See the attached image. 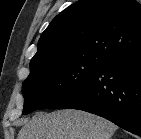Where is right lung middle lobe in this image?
<instances>
[{
  "mask_svg": "<svg viewBox=\"0 0 141 139\" xmlns=\"http://www.w3.org/2000/svg\"><path fill=\"white\" fill-rule=\"evenodd\" d=\"M105 62L84 56L31 69L23 84V114L54 108L87 84Z\"/></svg>",
  "mask_w": 141,
  "mask_h": 139,
  "instance_id": "obj_1",
  "label": "right lung middle lobe"
}]
</instances>
